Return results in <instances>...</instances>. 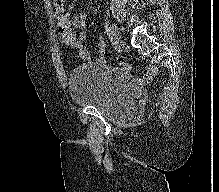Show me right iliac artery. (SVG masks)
I'll return each mask as SVG.
<instances>
[{
	"label": "right iliac artery",
	"instance_id": "82829eb1",
	"mask_svg": "<svg viewBox=\"0 0 219 192\" xmlns=\"http://www.w3.org/2000/svg\"><path fill=\"white\" fill-rule=\"evenodd\" d=\"M106 34H107L109 41L112 42L113 41V33H112V30L108 26H106Z\"/></svg>",
	"mask_w": 219,
	"mask_h": 192
}]
</instances>
